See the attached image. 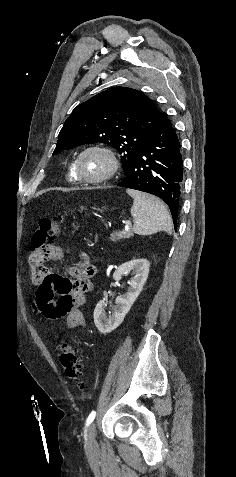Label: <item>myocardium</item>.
I'll list each match as a JSON object with an SVG mask.
<instances>
[{
	"label": "myocardium",
	"mask_w": 236,
	"mask_h": 477,
	"mask_svg": "<svg viewBox=\"0 0 236 477\" xmlns=\"http://www.w3.org/2000/svg\"><path fill=\"white\" fill-rule=\"evenodd\" d=\"M90 152H97V153L102 154L109 162L108 170L104 174H102L101 176L90 178V177L84 176L81 173L80 162H81L82 158L87 153H90ZM118 169H119V161H118L115 153L111 149H109L105 146H102V145H91V146L86 147L85 149H83L78 154V156L76 157V159L74 161V171L77 175V178H78L79 182H81V183H88V184L104 183V182L109 181L110 179H112L115 176V174L117 173Z\"/></svg>",
	"instance_id": "1"
}]
</instances>
